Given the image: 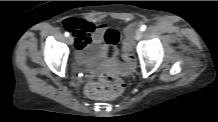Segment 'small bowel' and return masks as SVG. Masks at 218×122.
I'll return each instance as SVG.
<instances>
[{"mask_svg": "<svg viewBox=\"0 0 218 122\" xmlns=\"http://www.w3.org/2000/svg\"><path fill=\"white\" fill-rule=\"evenodd\" d=\"M64 26L73 33L77 51L87 50L92 58L99 53L104 44L102 32L107 28L105 24L95 25L83 19L68 18L64 21Z\"/></svg>", "mask_w": 218, "mask_h": 122, "instance_id": "c3829d8e", "label": "small bowel"}]
</instances>
